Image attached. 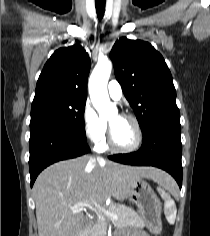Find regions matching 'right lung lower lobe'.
Masks as SVG:
<instances>
[{"instance_id": "1", "label": "right lung lower lobe", "mask_w": 210, "mask_h": 236, "mask_svg": "<svg viewBox=\"0 0 210 236\" xmlns=\"http://www.w3.org/2000/svg\"><path fill=\"white\" fill-rule=\"evenodd\" d=\"M29 150L31 187L38 174L50 164L90 152L85 134L61 127L30 132Z\"/></svg>"}]
</instances>
